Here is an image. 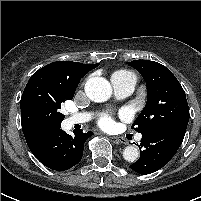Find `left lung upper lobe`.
Returning a JSON list of instances; mask_svg holds the SVG:
<instances>
[{
	"label": "left lung upper lobe",
	"instance_id": "1",
	"mask_svg": "<svg viewBox=\"0 0 201 201\" xmlns=\"http://www.w3.org/2000/svg\"><path fill=\"white\" fill-rule=\"evenodd\" d=\"M128 65L141 73L147 86V103L132 128L143 134L167 125L187 127L189 107L186 95L171 71L150 60H134Z\"/></svg>",
	"mask_w": 201,
	"mask_h": 201
}]
</instances>
